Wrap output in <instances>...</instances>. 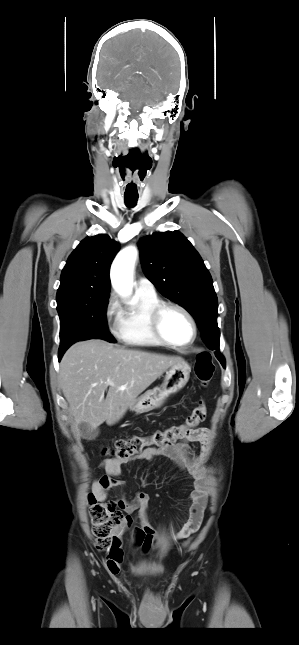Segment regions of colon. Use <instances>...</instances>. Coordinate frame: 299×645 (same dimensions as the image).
<instances>
[{
  "label": "colon",
  "mask_w": 299,
  "mask_h": 645,
  "mask_svg": "<svg viewBox=\"0 0 299 645\" xmlns=\"http://www.w3.org/2000/svg\"><path fill=\"white\" fill-rule=\"evenodd\" d=\"M214 364L207 352L198 354L195 362V374L203 386H207L214 374ZM206 416V406L200 401L185 420L164 429H158L149 436H131L116 441L114 449L104 448L103 453L112 456L119 462H126L132 456L148 447L162 448L182 440ZM89 513L92 521V532L97 549L108 551L114 545V532L126 521L115 501H99L93 496L89 499ZM187 544V543H186Z\"/></svg>",
  "instance_id": "5ec220e1"
}]
</instances>
